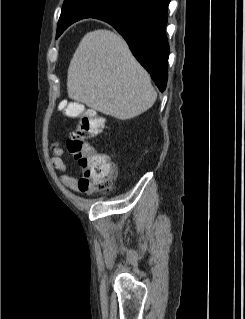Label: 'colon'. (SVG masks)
Masks as SVG:
<instances>
[{"label":"colon","mask_w":245,"mask_h":319,"mask_svg":"<svg viewBox=\"0 0 245 319\" xmlns=\"http://www.w3.org/2000/svg\"><path fill=\"white\" fill-rule=\"evenodd\" d=\"M63 111L68 117L78 118L67 139V150L77 161L82 176L78 186L83 193L108 192L117 176L116 166L109 158L88 145L87 140L101 134L105 128L102 117L84 111L77 102H66Z\"/></svg>","instance_id":"colon-1"}]
</instances>
